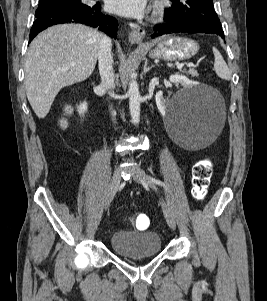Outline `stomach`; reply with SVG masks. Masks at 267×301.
I'll use <instances>...</instances> for the list:
<instances>
[{"instance_id":"obj_1","label":"stomach","mask_w":267,"mask_h":301,"mask_svg":"<svg viewBox=\"0 0 267 301\" xmlns=\"http://www.w3.org/2000/svg\"><path fill=\"white\" fill-rule=\"evenodd\" d=\"M198 50L197 42L188 38L171 36L159 41L149 55L167 61H183L195 56Z\"/></svg>"}]
</instances>
